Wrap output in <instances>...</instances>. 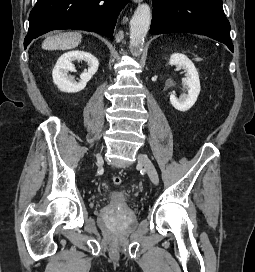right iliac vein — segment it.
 <instances>
[{
  "label": "right iliac vein",
  "instance_id": "right-iliac-vein-1",
  "mask_svg": "<svg viewBox=\"0 0 255 272\" xmlns=\"http://www.w3.org/2000/svg\"><path fill=\"white\" fill-rule=\"evenodd\" d=\"M97 159H98L99 161H101V160H102L101 155H98V156H97Z\"/></svg>",
  "mask_w": 255,
  "mask_h": 272
}]
</instances>
